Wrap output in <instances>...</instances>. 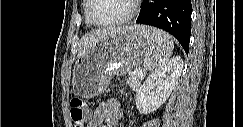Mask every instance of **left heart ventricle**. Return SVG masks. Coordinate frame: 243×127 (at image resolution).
<instances>
[{
  "label": "left heart ventricle",
  "instance_id": "b2bd125f",
  "mask_svg": "<svg viewBox=\"0 0 243 127\" xmlns=\"http://www.w3.org/2000/svg\"><path fill=\"white\" fill-rule=\"evenodd\" d=\"M130 9L129 0H95L92 15L98 22H111L127 15Z\"/></svg>",
  "mask_w": 243,
  "mask_h": 127
}]
</instances>
